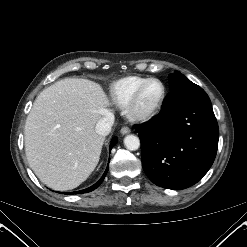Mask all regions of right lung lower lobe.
<instances>
[{
  "mask_svg": "<svg viewBox=\"0 0 247 247\" xmlns=\"http://www.w3.org/2000/svg\"><path fill=\"white\" fill-rule=\"evenodd\" d=\"M116 142H117V138H113L111 146H110V149L116 144ZM107 172H108V167H107L105 173L103 174V176L101 177V179L96 184H94L93 186H91V187H89L87 189L81 190V191L65 193V194H80V193H86V192L93 191L94 189H96L103 182Z\"/></svg>",
  "mask_w": 247,
  "mask_h": 247,
  "instance_id": "obj_1",
  "label": "right lung lower lobe"
}]
</instances>
